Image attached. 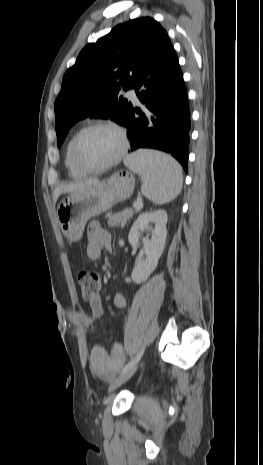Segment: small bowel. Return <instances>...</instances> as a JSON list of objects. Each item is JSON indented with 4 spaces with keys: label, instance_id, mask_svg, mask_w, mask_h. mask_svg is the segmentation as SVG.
Masks as SVG:
<instances>
[{
    "label": "small bowel",
    "instance_id": "small-bowel-1",
    "mask_svg": "<svg viewBox=\"0 0 263 465\" xmlns=\"http://www.w3.org/2000/svg\"><path fill=\"white\" fill-rule=\"evenodd\" d=\"M88 245L86 249L90 260H97L104 249H110L112 235L98 222H91L87 229ZM113 304L118 309L126 306V298L122 294H116ZM91 315L84 318L86 325L99 320L103 315V306L99 296L89 300ZM124 354L120 345H115L110 352L101 346H94L89 355L91 370L100 378L110 380L124 363Z\"/></svg>",
    "mask_w": 263,
    "mask_h": 465
}]
</instances>
